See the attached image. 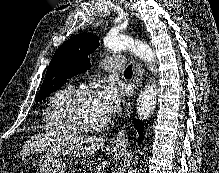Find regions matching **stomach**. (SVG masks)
<instances>
[{
    "instance_id": "obj_1",
    "label": "stomach",
    "mask_w": 219,
    "mask_h": 173,
    "mask_svg": "<svg viewBox=\"0 0 219 173\" xmlns=\"http://www.w3.org/2000/svg\"><path fill=\"white\" fill-rule=\"evenodd\" d=\"M114 156L119 158L125 155L122 146L113 147ZM40 173H66L64 157L59 152L47 151L38 162Z\"/></svg>"
}]
</instances>
